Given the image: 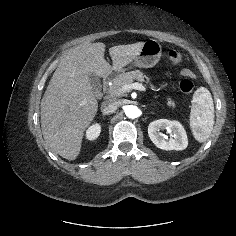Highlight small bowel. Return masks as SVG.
Wrapping results in <instances>:
<instances>
[{"instance_id": "obj_1", "label": "small bowel", "mask_w": 236, "mask_h": 236, "mask_svg": "<svg viewBox=\"0 0 236 236\" xmlns=\"http://www.w3.org/2000/svg\"><path fill=\"white\" fill-rule=\"evenodd\" d=\"M185 73H186L187 75H190V72H189V71H185Z\"/></svg>"}]
</instances>
